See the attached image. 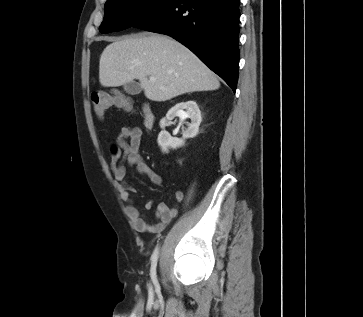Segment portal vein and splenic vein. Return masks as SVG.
Instances as JSON below:
<instances>
[{
  "instance_id": "1",
  "label": "portal vein and splenic vein",
  "mask_w": 363,
  "mask_h": 317,
  "mask_svg": "<svg viewBox=\"0 0 363 317\" xmlns=\"http://www.w3.org/2000/svg\"><path fill=\"white\" fill-rule=\"evenodd\" d=\"M149 80H150L151 82H155V80H156V79H155V77H150V78H149Z\"/></svg>"
}]
</instances>
